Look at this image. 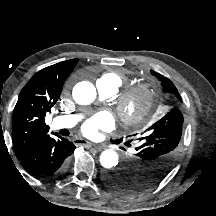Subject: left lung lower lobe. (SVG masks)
<instances>
[{
	"mask_svg": "<svg viewBox=\"0 0 216 216\" xmlns=\"http://www.w3.org/2000/svg\"><path fill=\"white\" fill-rule=\"evenodd\" d=\"M112 142H116V141H112ZM125 165V162H123V164H122V166H121V168H123V166ZM123 172V170H120L119 172H108L105 176H104V182L108 185V186H110L108 183H107V181L112 177V175H114L115 173H122ZM111 187V186H110ZM112 188V187H111ZM113 189V188H112ZM119 193V192H118ZM121 194V193H120ZM123 195V194H122Z\"/></svg>",
	"mask_w": 216,
	"mask_h": 216,
	"instance_id": "1",
	"label": "left lung lower lobe"
}]
</instances>
